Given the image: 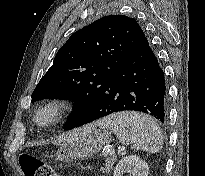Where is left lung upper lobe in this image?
<instances>
[{
  "mask_svg": "<svg viewBox=\"0 0 205 176\" xmlns=\"http://www.w3.org/2000/svg\"><path fill=\"white\" fill-rule=\"evenodd\" d=\"M144 37L137 21L124 15L105 16L76 31L39 81L32 102L44 98L74 100L65 129L74 128Z\"/></svg>",
  "mask_w": 205,
  "mask_h": 176,
  "instance_id": "5c2ea615",
  "label": "left lung upper lobe"
}]
</instances>
